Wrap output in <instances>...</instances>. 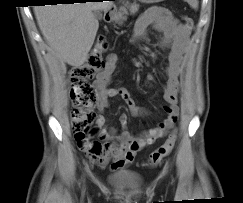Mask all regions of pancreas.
<instances>
[{"instance_id": "cf45deb5", "label": "pancreas", "mask_w": 243, "mask_h": 203, "mask_svg": "<svg viewBox=\"0 0 243 203\" xmlns=\"http://www.w3.org/2000/svg\"><path fill=\"white\" fill-rule=\"evenodd\" d=\"M126 7L129 9L130 14H135L139 9V5L135 4V3L129 4V5L127 4L125 7H121L120 11L115 19L118 24H122L123 21H125L127 19L126 15H128V11H127Z\"/></svg>"}]
</instances>
